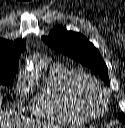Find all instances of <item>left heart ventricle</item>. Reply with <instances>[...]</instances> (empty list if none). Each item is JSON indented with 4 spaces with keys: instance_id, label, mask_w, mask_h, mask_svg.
I'll return each instance as SVG.
<instances>
[{
    "instance_id": "obj_1",
    "label": "left heart ventricle",
    "mask_w": 125,
    "mask_h": 128,
    "mask_svg": "<svg viewBox=\"0 0 125 128\" xmlns=\"http://www.w3.org/2000/svg\"><path fill=\"white\" fill-rule=\"evenodd\" d=\"M85 100L92 110L98 111L102 107V97L100 93L91 86H86L83 90Z\"/></svg>"
}]
</instances>
